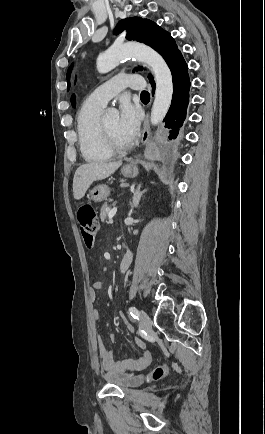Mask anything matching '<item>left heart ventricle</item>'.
Listing matches in <instances>:
<instances>
[{"mask_svg": "<svg viewBox=\"0 0 265 434\" xmlns=\"http://www.w3.org/2000/svg\"><path fill=\"white\" fill-rule=\"evenodd\" d=\"M118 122H119L118 116L110 117L104 121V123L107 125V127L110 129L111 133L113 134L114 139L122 145H127L129 143L124 141L120 137L119 130H118Z\"/></svg>", "mask_w": 265, "mask_h": 434, "instance_id": "b2bd125f", "label": "left heart ventricle"}]
</instances>
